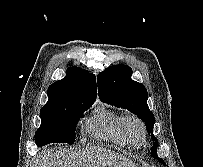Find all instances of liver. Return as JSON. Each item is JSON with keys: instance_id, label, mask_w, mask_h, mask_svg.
<instances>
[{"instance_id": "1", "label": "liver", "mask_w": 203, "mask_h": 167, "mask_svg": "<svg viewBox=\"0 0 203 167\" xmlns=\"http://www.w3.org/2000/svg\"><path fill=\"white\" fill-rule=\"evenodd\" d=\"M35 167H136L125 157L102 148L85 150L45 149L37 155Z\"/></svg>"}]
</instances>
